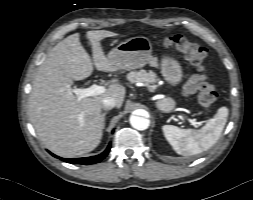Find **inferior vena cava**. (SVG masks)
Masks as SVG:
<instances>
[{
	"instance_id": "602c4592",
	"label": "inferior vena cava",
	"mask_w": 253,
	"mask_h": 200,
	"mask_svg": "<svg viewBox=\"0 0 253 200\" xmlns=\"http://www.w3.org/2000/svg\"><path fill=\"white\" fill-rule=\"evenodd\" d=\"M116 106V101L114 98H105L102 102V109L110 110Z\"/></svg>"
}]
</instances>
